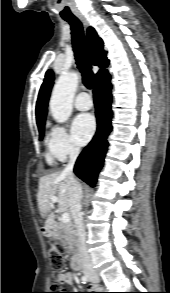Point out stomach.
<instances>
[{
	"label": "stomach",
	"instance_id": "stomach-1",
	"mask_svg": "<svg viewBox=\"0 0 170 293\" xmlns=\"http://www.w3.org/2000/svg\"><path fill=\"white\" fill-rule=\"evenodd\" d=\"M47 235L48 236H51V235H53V232L52 231H49Z\"/></svg>",
	"mask_w": 170,
	"mask_h": 293
}]
</instances>
